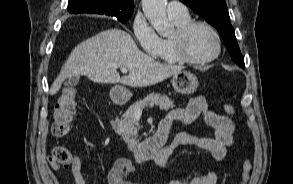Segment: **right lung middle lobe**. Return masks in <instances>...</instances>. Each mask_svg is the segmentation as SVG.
Instances as JSON below:
<instances>
[{
  "label": "right lung middle lobe",
  "mask_w": 293,
  "mask_h": 184,
  "mask_svg": "<svg viewBox=\"0 0 293 184\" xmlns=\"http://www.w3.org/2000/svg\"><path fill=\"white\" fill-rule=\"evenodd\" d=\"M131 17V15L129 16H119V17H116L120 22H126L129 20V18Z\"/></svg>",
  "instance_id": "1"
}]
</instances>
